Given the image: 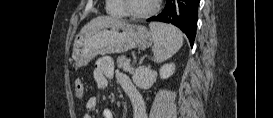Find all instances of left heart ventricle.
Segmentation results:
<instances>
[{"label":"left heart ventricle","instance_id":"left-heart-ventricle-1","mask_svg":"<svg viewBox=\"0 0 273 118\" xmlns=\"http://www.w3.org/2000/svg\"><path fill=\"white\" fill-rule=\"evenodd\" d=\"M153 0H129L130 9L135 12H144L151 8Z\"/></svg>","mask_w":273,"mask_h":118}]
</instances>
